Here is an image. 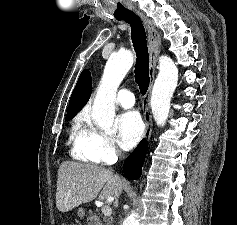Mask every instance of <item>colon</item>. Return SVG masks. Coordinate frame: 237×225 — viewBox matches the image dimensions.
<instances>
[{"label":"colon","instance_id":"5ec220e1","mask_svg":"<svg viewBox=\"0 0 237 225\" xmlns=\"http://www.w3.org/2000/svg\"><path fill=\"white\" fill-rule=\"evenodd\" d=\"M63 225H75V224H72V223H63Z\"/></svg>","mask_w":237,"mask_h":225}]
</instances>
